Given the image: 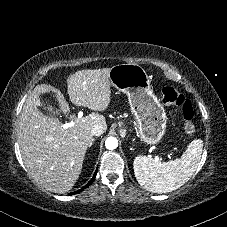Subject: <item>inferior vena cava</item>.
<instances>
[{
	"label": "inferior vena cava",
	"mask_w": 227,
	"mask_h": 227,
	"mask_svg": "<svg viewBox=\"0 0 227 227\" xmlns=\"http://www.w3.org/2000/svg\"><path fill=\"white\" fill-rule=\"evenodd\" d=\"M106 130V127L103 126L100 123H97L95 125L92 126L91 128V134L94 136H100L101 134H103Z\"/></svg>",
	"instance_id": "602c4592"
}]
</instances>
